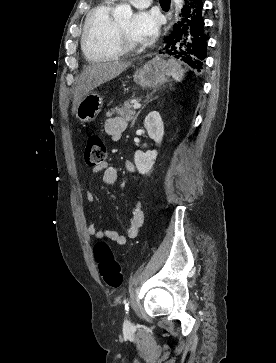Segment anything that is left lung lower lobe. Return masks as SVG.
Wrapping results in <instances>:
<instances>
[{
	"label": "left lung lower lobe",
	"mask_w": 276,
	"mask_h": 363,
	"mask_svg": "<svg viewBox=\"0 0 276 363\" xmlns=\"http://www.w3.org/2000/svg\"><path fill=\"white\" fill-rule=\"evenodd\" d=\"M203 0H185L182 19L174 25V31L165 37L164 53L186 63L196 71L203 69L206 57L207 37L202 18Z\"/></svg>",
	"instance_id": "0a47b994"
}]
</instances>
